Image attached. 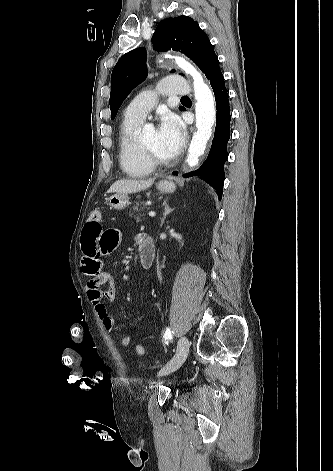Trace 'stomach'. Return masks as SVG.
Here are the masks:
<instances>
[{
  "mask_svg": "<svg viewBox=\"0 0 333 471\" xmlns=\"http://www.w3.org/2000/svg\"><path fill=\"white\" fill-rule=\"evenodd\" d=\"M156 187L161 193H173L176 188L172 181L166 179L159 181ZM129 204V197L124 193H117L108 198V205L117 210H122Z\"/></svg>",
  "mask_w": 333,
  "mask_h": 471,
  "instance_id": "0dacf381",
  "label": "stomach"
}]
</instances>
